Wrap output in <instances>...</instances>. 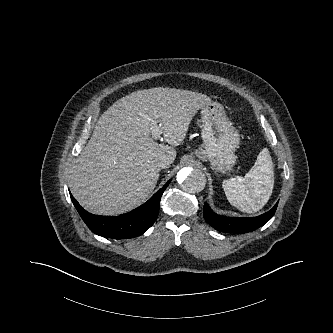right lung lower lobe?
Here are the masks:
<instances>
[{"instance_id": "right-lung-lower-lobe-1", "label": "right lung lower lobe", "mask_w": 333, "mask_h": 333, "mask_svg": "<svg viewBox=\"0 0 333 333\" xmlns=\"http://www.w3.org/2000/svg\"><path fill=\"white\" fill-rule=\"evenodd\" d=\"M169 180L146 203L120 216L93 215L83 209L71 195V200L88 228L95 234L114 239H129L143 234L155 222L159 213L160 199Z\"/></svg>"}]
</instances>
